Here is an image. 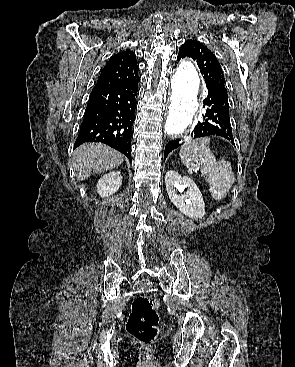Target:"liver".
<instances>
[{
  "mask_svg": "<svg viewBox=\"0 0 295 367\" xmlns=\"http://www.w3.org/2000/svg\"><path fill=\"white\" fill-rule=\"evenodd\" d=\"M124 156L101 143H88L78 147L72 156L77 180L83 181L93 174H100L120 166Z\"/></svg>",
  "mask_w": 295,
  "mask_h": 367,
  "instance_id": "liver-1",
  "label": "liver"
}]
</instances>
